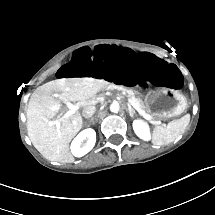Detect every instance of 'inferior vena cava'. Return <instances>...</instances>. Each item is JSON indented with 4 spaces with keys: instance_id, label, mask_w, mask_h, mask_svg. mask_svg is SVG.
<instances>
[{
    "instance_id": "inferior-vena-cava-1",
    "label": "inferior vena cava",
    "mask_w": 215,
    "mask_h": 215,
    "mask_svg": "<svg viewBox=\"0 0 215 215\" xmlns=\"http://www.w3.org/2000/svg\"><path fill=\"white\" fill-rule=\"evenodd\" d=\"M96 112V106L91 104V105H86L82 109V116L86 119L91 118Z\"/></svg>"
}]
</instances>
